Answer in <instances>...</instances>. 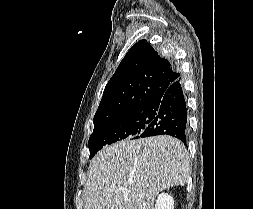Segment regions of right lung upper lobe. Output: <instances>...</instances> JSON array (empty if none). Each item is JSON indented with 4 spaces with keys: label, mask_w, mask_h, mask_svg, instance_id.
<instances>
[{
    "label": "right lung upper lobe",
    "mask_w": 253,
    "mask_h": 209,
    "mask_svg": "<svg viewBox=\"0 0 253 209\" xmlns=\"http://www.w3.org/2000/svg\"><path fill=\"white\" fill-rule=\"evenodd\" d=\"M179 78L174 66L161 58L146 40L138 41L107 83L94 121L153 104Z\"/></svg>",
    "instance_id": "right-lung-upper-lobe-1"
}]
</instances>
